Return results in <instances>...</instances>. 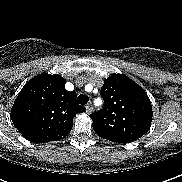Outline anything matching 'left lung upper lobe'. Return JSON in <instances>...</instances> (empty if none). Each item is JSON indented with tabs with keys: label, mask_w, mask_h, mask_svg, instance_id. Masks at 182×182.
I'll return each instance as SVG.
<instances>
[{
	"label": "left lung upper lobe",
	"mask_w": 182,
	"mask_h": 182,
	"mask_svg": "<svg viewBox=\"0 0 182 182\" xmlns=\"http://www.w3.org/2000/svg\"><path fill=\"white\" fill-rule=\"evenodd\" d=\"M100 95L103 110L90 115L93 129L135 141L152 122V105L145 91L132 79L113 74L105 79Z\"/></svg>",
	"instance_id": "1"
}]
</instances>
